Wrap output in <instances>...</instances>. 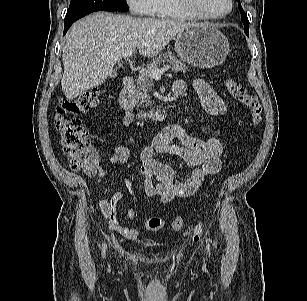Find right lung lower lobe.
<instances>
[{
	"label": "right lung lower lobe",
	"mask_w": 307,
	"mask_h": 301,
	"mask_svg": "<svg viewBox=\"0 0 307 301\" xmlns=\"http://www.w3.org/2000/svg\"><path fill=\"white\" fill-rule=\"evenodd\" d=\"M85 16V15H84ZM83 16H79V17H75V18H71V19H68V20H65V23H64V33L63 35L66 34V32L68 31V29L70 28V26L72 25L73 22H75L76 20L82 18Z\"/></svg>",
	"instance_id": "1"
}]
</instances>
